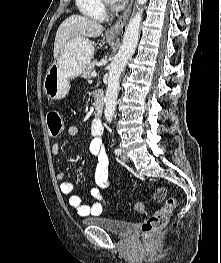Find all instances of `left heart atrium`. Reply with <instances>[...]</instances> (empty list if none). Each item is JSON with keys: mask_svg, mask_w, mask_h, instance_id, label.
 Listing matches in <instances>:
<instances>
[{"mask_svg": "<svg viewBox=\"0 0 221 263\" xmlns=\"http://www.w3.org/2000/svg\"><path fill=\"white\" fill-rule=\"evenodd\" d=\"M114 1H123V0H114Z\"/></svg>", "mask_w": 221, "mask_h": 263, "instance_id": "left-heart-atrium-1", "label": "left heart atrium"}]
</instances>
